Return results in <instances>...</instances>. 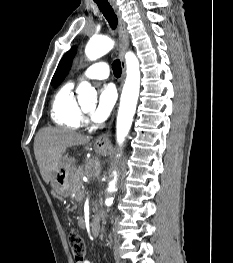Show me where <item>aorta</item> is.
<instances>
[{
	"instance_id": "1",
	"label": "aorta",
	"mask_w": 233,
	"mask_h": 263,
	"mask_svg": "<svg viewBox=\"0 0 233 263\" xmlns=\"http://www.w3.org/2000/svg\"><path fill=\"white\" fill-rule=\"evenodd\" d=\"M114 46V41L108 37L93 36L86 45L85 54L88 59L96 60L108 53ZM126 59V80L123 86L120 106L116 123L117 143L121 146L129 133L135 114L137 100L140 90L139 61L134 53H127ZM78 102L83 104L96 98V90L86 81L79 84L77 88ZM116 175L110 183L108 192L116 191ZM113 198H107L106 203L112 204Z\"/></svg>"
}]
</instances>
